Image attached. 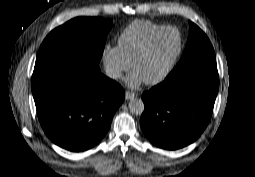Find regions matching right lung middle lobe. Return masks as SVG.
Returning a JSON list of instances; mask_svg holds the SVG:
<instances>
[{
    "label": "right lung middle lobe",
    "mask_w": 255,
    "mask_h": 177,
    "mask_svg": "<svg viewBox=\"0 0 255 177\" xmlns=\"http://www.w3.org/2000/svg\"><path fill=\"white\" fill-rule=\"evenodd\" d=\"M112 20L77 17L51 31L43 41L36 64L52 59H71L98 65Z\"/></svg>",
    "instance_id": "1"
}]
</instances>
